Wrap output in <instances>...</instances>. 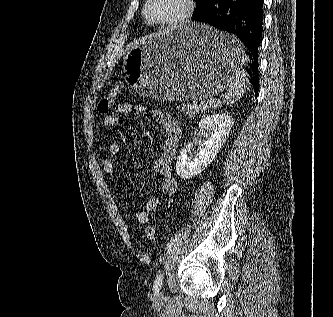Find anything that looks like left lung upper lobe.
Returning <instances> with one entry per match:
<instances>
[{"mask_svg": "<svg viewBox=\"0 0 333 317\" xmlns=\"http://www.w3.org/2000/svg\"><path fill=\"white\" fill-rule=\"evenodd\" d=\"M195 1H196L195 14H198L201 11H203L211 2V0H195Z\"/></svg>", "mask_w": 333, "mask_h": 317, "instance_id": "5c2ea615", "label": "left lung upper lobe"}]
</instances>
